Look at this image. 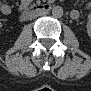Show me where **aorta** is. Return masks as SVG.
I'll list each match as a JSON object with an SVG mask.
<instances>
[{
  "instance_id": "obj_1",
  "label": "aorta",
  "mask_w": 91,
  "mask_h": 91,
  "mask_svg": "<svg viewBox=\"0 0 91 91\" xmlns=\"http://www.w3.org/2000/svg\"><path fill=\"white\" fill-rule=\"evenodd\" d=\"M52 15L55 18H61L63 16V9L60 6H55L52 9Z\"/></svg>"
}]
</instances>
